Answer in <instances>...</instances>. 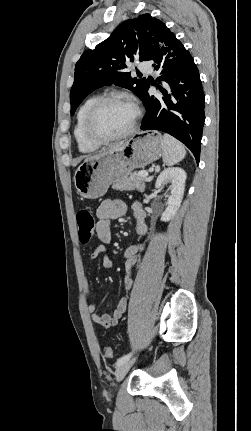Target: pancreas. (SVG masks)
<instances>
[{
  "instance_id": "cf45deb5",
  "label": "pancreas",
  "mask_w": 251,
  "mask_h": 431,
  "mask_svg": "<svg viewBox=\"0 0 251 431\" xmlns=\"http://www.w3.org/2000/svg\"><path fill=\"white\" fill-rule=\"evenodd\" d=\"M146 177L139 176V173H132L126 179L115 182L113 188L116 190H135L143 192L145 189Z\"/></svg>"
}]
</instances>
